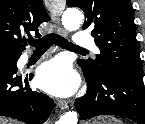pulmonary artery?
Wrapping results in <instances>:
<instances>
[{
    "label": "pulmonary artery",
    "instance_id": "pulmonary-artery-1",
    "mask_svg": "<svg viewBox=\"0 0 145 124\" xmlns=\"http://www.w3.org/2000/svg\"><path fill=\"white\" fill-rule=\"evenodd\" d=\"M74 45L81 47V48H90L97 53L99 52L98 48L94 44L93 37L85 31L77 32ZM27 59H28V56L24 55L21 58V61L26 62Z\"/></svg>",
    "mask_w": 145,
    "mask_h": 124
}]
</instances>
